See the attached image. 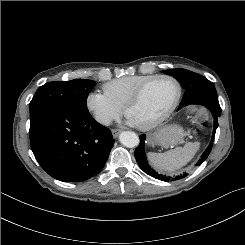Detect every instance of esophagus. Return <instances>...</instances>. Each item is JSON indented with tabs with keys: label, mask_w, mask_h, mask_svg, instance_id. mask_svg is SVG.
I'll use <instances>...</instances> for the list:
<instances>
[{
	"label": "esophagus",
	"mask_w": 245,
	"mask_h": 245,
	"mask_svg": "<svg viewBox=\"0 0 245 245\" xmlns=\"http://www.w3.org/2000/svg\"><path fill=\"white\" fill-rule=\"evenodd\" d=\"M121 130L119 129H112V135L113 137H118V135L120 134Z\"/></svg>",
	"instance_id": "34e87169"
}]
</instances>
